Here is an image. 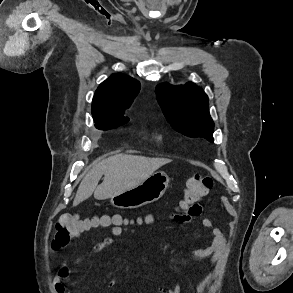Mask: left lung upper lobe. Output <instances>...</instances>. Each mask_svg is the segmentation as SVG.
<instances>
[{"instance_id":"1","label":"left lung upper lobe","mask_w":293,"mask_h":293,"mask_svg":"<svg viewBox=\"0 0 293 293\" xmlns=\"http://www.w3.org/2000/svg\"><path fill=\"white\" fill-rule=\"evenodd\" d=\"M158 102L172 127L189 137H204L213 142L214 123L208 109V97L189 82L184 86L168 83L156 87Z\"/></svg>"}]
</instances>
